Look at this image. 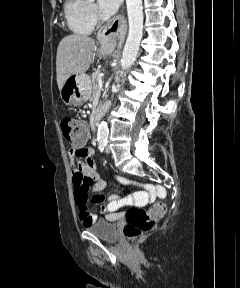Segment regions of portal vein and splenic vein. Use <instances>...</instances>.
I'll return each instance as SVG.
<instances>
[{
    "label": "portal vein and splenic vein",
    "mask_w": 240,
    "mask_h": 288,
    "mask_svg": "<svg viewBox=\"0 0 240 288\" xmlns=\"http://www.w3.org/2000/svg\"><path fill=\"white\" fill-rule=\"evenodd\" d=\"M99 88H102V81H99Z\"/></svg>",
    "instance_id": "1"
}]
</instances>
